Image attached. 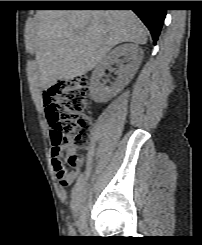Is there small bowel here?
Masks as SVG:
<instances>
[{"mask_svg":"<svg viewBox=\"0 0 202 245\" xmlns=\"http://www.w3.org/2000/svg\"><path fill=\"white\" fill-rule=\"evenodd\" d=\"M56 96L57 90L54 87H50L42 93V100L49 118L54 113ZM70 144L68 142L57 147L51 146L50 149L52 168L60 186L63 188L70 186L74 182L80 170V161L72 168H68L65 164L64 151H67Z\"/></svg>","mask_w":202,"mask_h":245,"instance_id":"obj_1","label":"small bowel"}]
</instances>
